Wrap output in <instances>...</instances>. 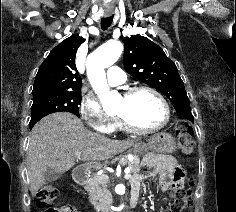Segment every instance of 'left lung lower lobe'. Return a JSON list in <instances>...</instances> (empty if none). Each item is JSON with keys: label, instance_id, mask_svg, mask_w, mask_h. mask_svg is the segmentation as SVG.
<instances>
[{"label": "left lung lower lobe", "instance_id": "0a47b994", "mask_svg": "<svg viewBox=\"0 0 236 212\" xmlns=\"http://www.w3.org/2000/svg\"><path fill=\"white\" fill-rule=\"evenodd\" d=\"M179 118L182 119H187L190 120L191 122H193L194 117L191 113V109L190 110H182L181 112L178 113Z\"/></svg>", "mask_w": 236, "mask_h": 212}]
</instances>
